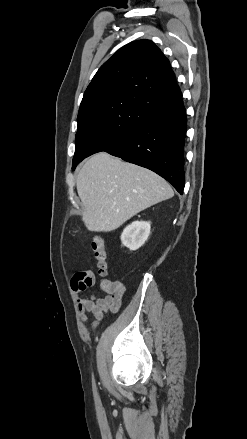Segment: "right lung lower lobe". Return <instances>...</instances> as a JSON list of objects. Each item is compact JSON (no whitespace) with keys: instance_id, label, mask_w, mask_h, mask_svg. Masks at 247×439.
I'll return each mask as SVG.
<instances>
[{"instance_id":"1","label":"right lung lower lobe","mask_w":247,"mask_h":439,"mask_svg":"<svg viewBox=\"0 0 247 439\" xmlns=\"http://www.w3.org/2000/svg\"><path fill=\"white\" fill-rule=\"evenodd\" d=\"M186 126L181 95L154 108L133 132L106 152L156 172L182 194Z\"/></svg>"}]
</instances>
